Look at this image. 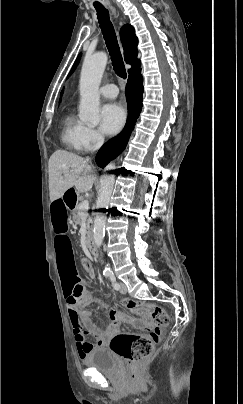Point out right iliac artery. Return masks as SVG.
I'll list each match as a JSON object with an SVG mask.
<instances>
[{
  "mask_svg": "<svg viewBox=\"0 0 243 404\" xmlns=\"http://www.w3.org/2000/svg\"><path fill=\"white\" fill-rule=\"evenodd\" d=\"M108 274H109L108 272H105V271H104V275H105L106 277L108 276Z\"/></svg>",
  "mask_w": 243,
  "mask_h": 404,
  "instance_id": "right-iliac-artery-1",
  "label": "right iliac artery"
}]
</instances>
